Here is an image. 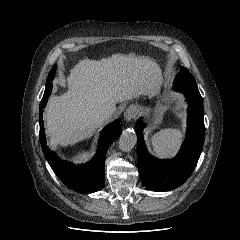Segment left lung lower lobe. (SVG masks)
<instances>
[{"label":"left lung lower lobe","instance_id":"1","mask_svg":"<svg viewBox=\"0 0 240 240\" xmlns=\"http://www.w3.org/2000/svg\"><path fill=\"white\" fill-rule=\"evenodd\" d=\"M176 90L184 92L188 102L187 134L179 153L171 159H157L149 155L141 120L135 126L137 134V163L141 181L152 191H168L181 186L191 175L202 152L205 125L203 99L194 77L177 74Z\"/></svg>","mask_w":240,"mask_h":240}]
</instances>
